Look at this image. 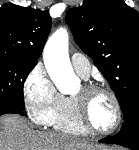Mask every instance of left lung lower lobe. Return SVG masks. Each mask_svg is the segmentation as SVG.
Wrapping results in <instances>:
<instances>
[{
	"instance_id": "0a47b994",
	"label": "left lung lower lobe",
	"mask_w": 139,
	"mask_h": 150,
	"mask_svg": "<svg viewBox=\"0 0 139 150\" xmlns=\"http://www.w3.org/2000/svg\"><path fill=\"white\" fill-rule=\"evenodd\" d=\"M99 142L139 150V104H135L130 109L121 131L116 136L105 137Z\"/></svg>"
}]
</instances>
